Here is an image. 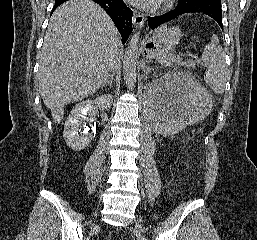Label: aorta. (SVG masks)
Wrapping results in <instances>:
<instances>
[{"label":"aorta","instance_id":"762f6f07","mask_svg":"<svg viewBox=\"0 0 257 240\" xmlns=\"http://www.w3.org/2000/svg\"><path fill=\"white\" fill-rule=\"evenodd\" d=\"M140 38V32H136L124 54L123 59V76L127 87L131 90L134 89L136 83V70H137V52H138V43Z\"/></svg>","mask_w":257,"mask_h":240}]
</instances>
